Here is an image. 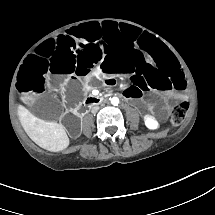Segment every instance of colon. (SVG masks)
Masks as SVG:
<instances>
[{
	"instance_id": "5ec220e1",
	"label": "colon",
	"mask_w": 215,
	"mask_h": 215,
	"mask_svg": "<svg viewBox=\"0 0 215 215\" xmlns=\"http://www.w3.org/2000/svg\"><path fill=\"white\" fill-rule=\"evenodd\" d=\"M189 109V103L188 102H181L178 105H176L171 113V123L174 126H179L185 119L186 114Z\"/></svg>"
}]
</instances>
